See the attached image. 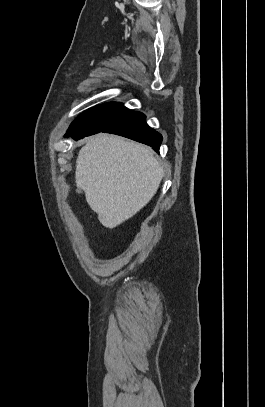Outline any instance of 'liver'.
I'll list each match as a JSON object with an SVG mask.
<instances>
[{
    "mask_svg": "<svg viewBox=\"0 0 265 407\" xmlns=\"http://www.w3.org/2000/svg\"><path fill=\"white\" fill-rule=\"evenodd\" d=\"M163 176L149 147L103 133L88 139L76 160V185L100 223L110 229L146 206Z\"/></svg>",
    "mask_w": 265,
    "mask_h": 407,
    "instance_id": "liver-1",
    "label": "liver"
}]
</instances>
